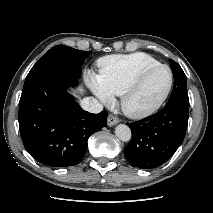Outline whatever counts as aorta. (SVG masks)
<instances>
[{
    "label": "aorta",
    "mask_w": 213,
    "mask_h": 213,
    "mask_svg": "<svg viewBox=\"0 0 213 213\" xmlns=\"http://www.w3.org/2000/svg\"><path fill=\"white\" fill-rule=\"evenodd\" d=\"M115 134L123 142H127L131 139V130L130 128L125 124H119L115 128Z\"/></svg>",
    "instance_id": "aorta-1"
}]
</instances>
